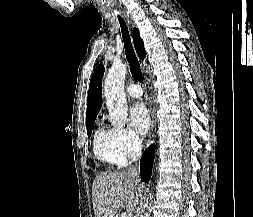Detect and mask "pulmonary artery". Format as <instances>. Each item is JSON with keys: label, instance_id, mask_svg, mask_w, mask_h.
I'll return each mask as SVG.
<instances>
[{"label": "pulmonary artery", "instance_id": "pulmonary-artery-1", "mask_svg": "<svg viewBox=\"0 0 253 217\" xmlns=\"http://www.w3.org/2000/svg\"><path fill=\"white\" fill-rule=\"evenodd\" d=\"M126 92L128 93V95H130L131 97L134 98H138L140 96H142V89L140 88V86L138 84H129L126 87Z\"/></svg>", "mask_w": 253, "mask_h": 217}]
</instances>
